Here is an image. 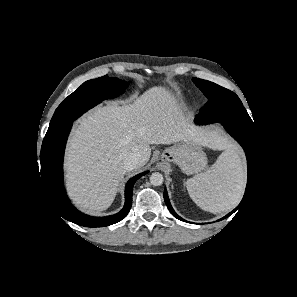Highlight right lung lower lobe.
I'll use <instances>...</instances> for the list:
<instances>
[{"mask_svg":"<svg viewBox=\"0 0 297 297\" xmlns=\"http://www.w3.org/2000/svg\"><path fill=\"white\" fill-rule=\"evenodd\" d=\"M72 122L57 132L46 135L40 152L41 179L46 195L52 206L60 216L68 221L85 227H103L115 224L122 220L132 205V189L136 180L147 172L131 178L125 188V205L117 214L107 217H92L76 210L69 202L63 185V156L66 141Z\"/></svg>","mask_w":297,"mask_h":297,"instance_id":"98d812e1","label":"right lung lower lobe"}]
</instances>
